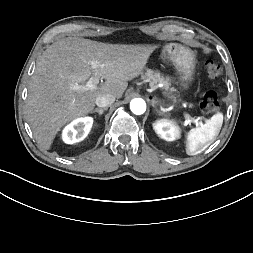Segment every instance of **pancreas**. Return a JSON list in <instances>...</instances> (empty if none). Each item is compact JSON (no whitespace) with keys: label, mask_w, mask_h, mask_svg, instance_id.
<instances>
[{"label":"pancreas","mask_w":253,"mask_h":253,"mask_svg":"<svg viewBox=\"0 0 253 253\" xmlns=\"http://www.w3.org/2000/svg\"><path fill=\"white\" fill-rule=\"evenodd\" d=\"M142 79L145 82H148L150 87L153 89L158 88V85L161 84L162 89L165 90L166 95L171 99L175 100L174 95H170L172 92H175L176 89L171 87V79L168 76L160 73L157 70L147 69L146 72L142 75Z\"/></svg>","instance_id":"1"}]
</instances>
